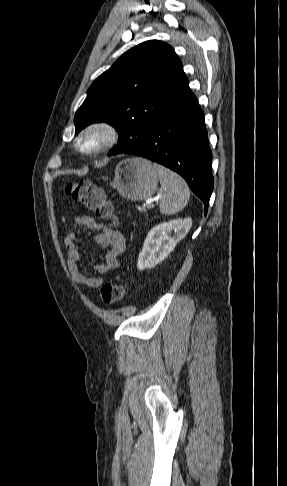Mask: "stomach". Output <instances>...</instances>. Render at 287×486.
Wrapping results in <instances>:
<instances>
[{
  "mask_svg": "<svg viewBox=\"0 0 287 486\" xmlns=\"http://www.w3.org/2000/svg\"><path fill=\"white\" fill-rule=\"evenodd\" d=\"M158 177V172L150 161L140 157H131L118 163L110 185L123 198L141 201L150 198L155 193Z\"/></svg>",
  "mask_w": 287,
  "mask_h": 486,
  "instance_id": "1",
  "label": "stomach"
}]
</instances>
